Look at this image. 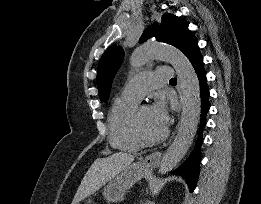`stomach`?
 Masks as SVG:
<instances>
[{"label":"stomach","mask_w":261,"mask_h":204,"mask_svg":"<svg viewBox=\"0 0 261 204\" xmlns=\"http://www.w3.org/2000/svg\"><path fill=\"white\" fill-rule=\"evenodd\" d=\"M146 172L147 169L142 167L140 162L131 164L112 180L108 181L107 185L104 186L103 196L108 202L122 201L127 191L140 180ZM84 204H92V201L88 200Z\"/></svg>","instance_id":"obj_1"}]
</instances>
